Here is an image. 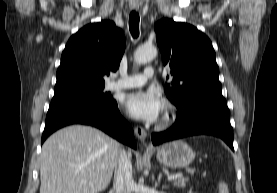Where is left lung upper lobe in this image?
<instances>
[{
    "label": "left lung upper lobe",
    "mask_w": 277,
    "mask_h": 193,
    "mask_svg": "<svg viewBox=\"0 0 277 193\" xmlns=\"http://www.w3.org/2000/svg\"><path fill=\"white\" fill-rule=\"evenodd\" d=\"M156 40L173 81L164 88L181 112L195 98L221 93L219 68L209 38L190 24L163 19L156 23Z\"/></svg>",
    "instance_id": "5c2ea615"
}]
</instances>
